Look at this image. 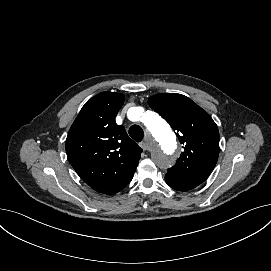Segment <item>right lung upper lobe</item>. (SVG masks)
Segmentation results:
<instances>
[{"mask_svg": "<svg viewBox=\"0 0 271 271\" xmlns=\"http://www.w3.org/2000/svg\"><path fill=\"white\" fill-rule=\"evenodd\" d=\"M124 96L102 92L92 97L72 124L67 139L68 159L95 191L115 194L133 178L142 149L128 137L115 117Z\"/></svg>", "mask_w": 271, "mask_h": 271, "instance_id": "cb5924a9", "label": "right lung upper lobe"}]
</instances>
